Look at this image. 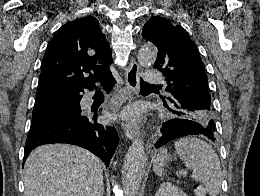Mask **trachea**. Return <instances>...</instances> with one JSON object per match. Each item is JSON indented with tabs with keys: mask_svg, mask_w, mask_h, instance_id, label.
<instances>
[{
	"mask_svg": "<svg viewBox=\"0 0 260 196\" xmlns=\"http://www.w3.org/2000/svg\"><path fill=\"white\" fill-rule=\"evenodd\" d=\"M140 87L141 89H147V88H161L162 85H151L150 83H147L146 81L140 79Z\"/></svg>",
	"mask_w": 260,
	"mask_h": 196,
	"instance_id": "1",
	"label": "trachea"
}]
</instances>
